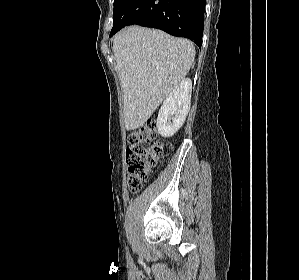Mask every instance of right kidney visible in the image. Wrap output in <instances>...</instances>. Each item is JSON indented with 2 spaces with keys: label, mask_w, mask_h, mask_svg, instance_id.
Listing matches in <instances>:
<instances>
[{
  "label": "right kidney",
  "mask_w": 299,
  "mask_h": 280,
  "mask_svg": "<svg viewBox=\"0 0 299 280\" xmlns=\"http://www.w3.org/2000/svg\"><path fill=\"white\" fill-rule=\"evenodd\" d=\"M191 91L192 81L186 78L164 100L157 118L158 132L162 137H172L182 127L190 109Z\"/></svg>",
  "instance_id": "right-kidney-1"
}]
</instances>
